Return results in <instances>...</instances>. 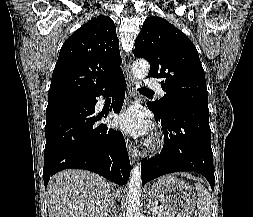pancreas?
Here are the masks:
<instances>
[{"label":"pancreas","instance_id":"cf45deb5","mask_svg":"<svg viewBox=\"0 0 253 217\" xmlns=\"http://www.w3.org/2000/svg\"><path fill=\"white\" fill-rule=\"evenodd\" d=\"M161 209V214L160 215H155L154 217H172L165 209L164 207L160 206Z\"/></svg>","mask_w":253,"mask_h":217}]
</instances>
